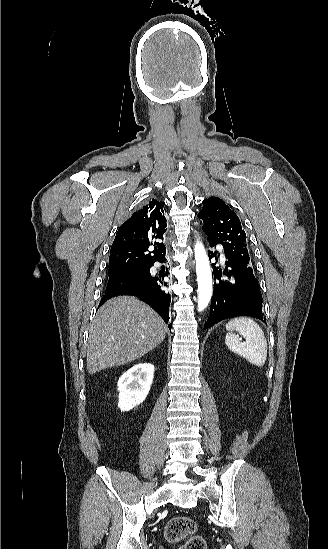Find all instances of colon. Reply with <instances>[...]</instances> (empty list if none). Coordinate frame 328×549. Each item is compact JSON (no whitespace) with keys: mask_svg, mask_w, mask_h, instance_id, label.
<instances>
[{"mask_svg":"<svg viewBox=\"0 0 328 549\" xmlns=\"http://www.w3.org/2000/svg\"><path fill=\"white\" fill-rule=\"evenodd\" d=\"M196 522L186 516L170 520L165 529V538L171 544H179L178 549H206L204 539L196 534Z\"/></svg>","mask_w":328,"mask_h":549,"instance_id":"5ec220e1","label":"colon"}]
</instances>
